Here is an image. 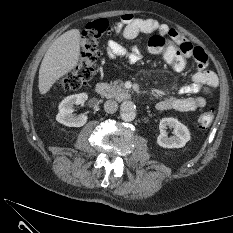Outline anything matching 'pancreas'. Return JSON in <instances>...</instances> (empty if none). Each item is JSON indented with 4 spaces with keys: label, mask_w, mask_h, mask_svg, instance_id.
I'll return each mask as SVG.
<instances>
[{
    "label": "pancreas",
    "mask_w": 233,
    "mask_h": 233,
    "mask_svg": "<svg viewBox=\"0 0 233 233\" xmlns=\"http://www.w3.org/2000/svg\"><path fill=\"white\" fill-rule=\"evenodd\" d=\"M111 95L117 96L120 93H126L128 90L124 87L123 83H119L118 81H114L110 84Z\"/></svg>",
    "instance_id": "obj_1"
}]
</instances>
